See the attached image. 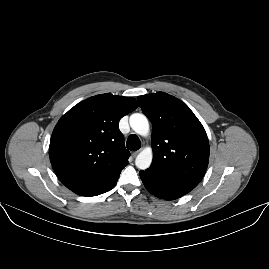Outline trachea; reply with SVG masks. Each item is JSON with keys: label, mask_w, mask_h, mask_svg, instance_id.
I'll return each instance as SVG.
<instances>
[{"label": "trachea", "mask_w": 269, "mask_h": 269, "mask_svg": "<svg viewBox=\"0 0 269 269\" xmlns=\"http://www.w3.org/2000/svg\"><path fill=\"white\" fill-rule=\"evenodd\" d=\"M126 146L131 151H136L141 147V141L137 135L132 134L128 137Z\"/></svg>", "instance_id": "1"}]
</instances>
